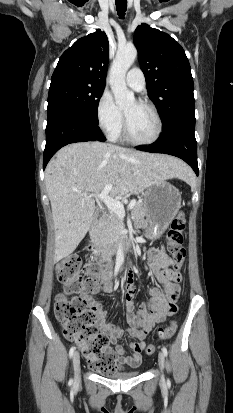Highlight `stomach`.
I'll return each instance as SVG.
<instances>
[{"label": "stomach", "instance_id": "stomach-1", "mask_svg": "<svg viewBox=\"0 0 233 413\" xmlns=\"http://www.w3.org/2000/svg\"><path fill=\"white\" fill-rule=\"evenodd\" d=\"M143 205L149 222L148 233L160 236L178 214L181 195L179 190L166 180L158 181L146 188Z\"/></svg>", "mask_w": 233, "mask_h": 413}]
</instances>
